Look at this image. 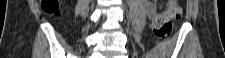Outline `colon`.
I'll return each instance as SVG.
<instances>
[{
    "label": "colon",
    "mask_w": 225,
    "mask_h": 58,
    "mask_svg": "<svg viewBox=\"0 0 225 58\" xmlns=\"http://www.w3.org/2000/svg\"><path fill=\"white\" fill-rule=\"evenodd\" d=\"M42 9L46 14L58 17L59 5L55 0H44L42 2ZM182 14L181 8L175 1H171L168 8L157 15L154 22V34L161 39H168L173 28V21L180 18Z\"/></svg>",
    "instance_id": "1"
}]
</instances>
